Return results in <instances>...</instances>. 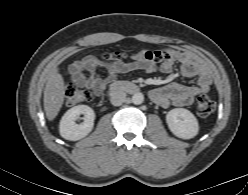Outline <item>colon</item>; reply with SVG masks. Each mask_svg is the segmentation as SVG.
Here are the masks:
<instances>
[{
	"instance_id": "1",
	"label": "colon",
	"mask_w": 248,
	"mask_h": 195,
	"mask_svg": "<svg viewBox=\"0 0 248 195\" xmlns=\"http://www.w3.org/2000/svg\"><path fill=\"white\" fill-rule=\"evenodd\" d=\"M104 59H114L118 60L125 57L123 53H111L103 54ZM145 58L154 62H160L167 58V54L162 51H148L145 54ZM66 103L69 106H74L83 102H87L91 99V95L88 91L80 89L74 84H69L65 89ZM215 109V103L207 96H200L197 100L196 110L197 114L201 118H206L210 116Z\"/></svg>"
}]
</instances>
